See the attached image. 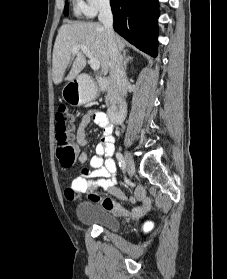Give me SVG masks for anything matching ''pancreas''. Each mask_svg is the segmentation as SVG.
I'll list each match as a JSON object with an SVG mask.
<instances>
[{
  "label": "pancreas",
  "instance_id": "pancreas-1",
  "mask_svg": "<svg viewBox=\"0 0 227 279\" xmlns=\"http://www.w3.org/2000/svg\"><path fill=\"white\" fill-rule=\"evenodd\" d=\"M115 101V91L111 85L107 86L106 95H105V102L107 105L113 104Z\"/></svg>",
  "mask_w": 227,
  "mask_h": 279
}]
</instances>
